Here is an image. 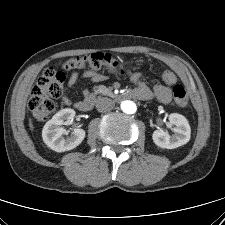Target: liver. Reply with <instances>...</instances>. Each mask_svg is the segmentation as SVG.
Instances as JSON below:
<instances>
[{
  "instance_id": "liver-1",
  "label": "liver",
  "mask_w": 225,
  "mask_h": 225,
  "mask_svg": "<svg viewBox=\"0 0 225 225\" xmlns=\"http://www.w3.org/2000/svg\"><path fill=\"white\" fill-rule=\"evenodd\" d=\"M29 125H30L31 130H33V125L31 123V121H30Z\"/></svg>"
}]
</instances>
